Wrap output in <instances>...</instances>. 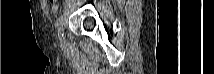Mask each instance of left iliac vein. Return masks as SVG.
Returning a JSON list of instances; mask_svg holds the SVG:
<instances>
[{
    "label": "left iliac vein",
    "mask_w": 214,
    "mask_h": 74,
    "mask_svg": "<svg viewBox=\"0 0 214 74\" xmlns=\"http://www.w3.org/2000/svg\"><path fill=\"white\" fill-rule=\"evenodd\" d=\"M58 35H59V39L61 43H64L65 41V37H64V31H63V27L60 26L58 29Z\"/></svg>",
    "instance_id": "4c4485c4"
}]
</instances>
